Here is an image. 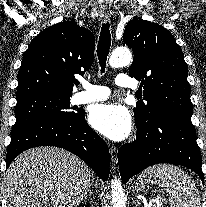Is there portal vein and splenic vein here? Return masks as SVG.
<instances>
[{"instance_id":"portal-vein-and-splenic-vein-1","label":"portal vein and splenic vein","mask_w":206,"mask_h":207,"mask_svg":"<svg viewBox=\"0 0 206 207\" xmlns=\"http://www.w3.org/2000/svg\"><path fill=\"white\" fill-rule=\"evenodd\" d=\"M161 205H162V202H157V205L155 206L160 207Z\"/></svg>"}]
</instances>
